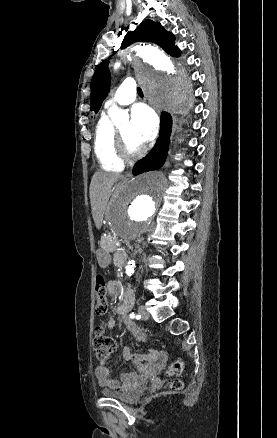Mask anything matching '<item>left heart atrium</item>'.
Here are the masks:
<instances>
[{
	"mask_svg": "<svg viewBox=\"0 0 277 438\" xmlns=\"http://www.w3.org/2000/svg\"><path fill=\"white\" fill-rule=\"evenodd\" d=\"M131 115L132 135L140 151L144 149L146 144L155 136L157 119L152 109L144 104L134 106Z\"/></svg>",
	"mask_w": 277,
	"mask_h": 438,
	"instance_id": "left-heart-atrium-1",
	"label": "left heart atrium"
}]
</instances>
